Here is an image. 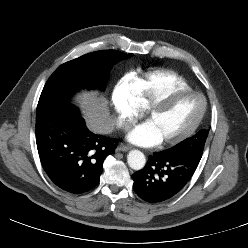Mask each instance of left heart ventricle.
I'll return each instance as SVG.
<instances>
[{
    "instance_id": "b2bd125f",
    "label": "left heart ventricle",
    "mask_w": 248,
    "mask_h": 248,
    "mask_svg": "<svg viewBox=\"0 0 248 248\" xmlns=\"http://www.w3.org/2000/svg\"><path fill=\"white\" fill-rule=\"evenodd\" d=\"M202 109V100L196 95L176 99L147 118L161 140L178 136L197 119Z\"/></svg>"
}]
</instances>
